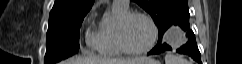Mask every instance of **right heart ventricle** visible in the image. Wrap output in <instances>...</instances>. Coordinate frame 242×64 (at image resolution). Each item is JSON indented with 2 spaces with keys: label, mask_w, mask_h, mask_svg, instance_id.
Listing matches in <instances>:
<instances>
[{
  "label": "right heart ventricle",
  "mask_w": 242,
  "mask_h": 64,
  "mask_svg": "<svg viewBox=\"0 0 242 64\" xmlns=\"http://www.w3.org/2000/svg\"><path fill=\"white\" fill-rule=\"evenodd\" d=\"M128 8L112 4L103 14L98 27L89 35V46L104 56H117L123 53L117 39V27L120 18Z\"/></svg>",
  "instance_id": "e07e8e85"
}]
</instances>
